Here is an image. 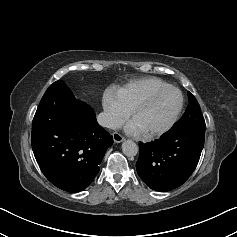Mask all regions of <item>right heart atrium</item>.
Wrapping results in <instances>:
<instances>
[{
  "mask_svg": "<svg viewBox=\"0 0 237 237\" xmlns=\"http://www.w3.org/2000/svg\"><path fill=\"white\" fill-rule=\"evenodd\" d=\"M103 109L106 125L110 128L118 127L128 117L129 111L120 103L112 92L105 94Z\"/></svg>",
  "mask_w": 237,
  "mask_h": 237,
  "instance_id": "1",
  "label": "right heart atrium"
}]
</instances>
